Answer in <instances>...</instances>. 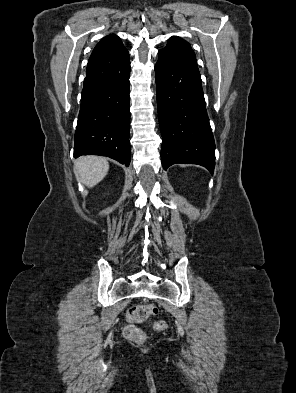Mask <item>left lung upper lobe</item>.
<instances>
[{"instance_id": "left-lung-upper-lobe-1", "label": "left lung upper lobe", "mask_w": 296, "mask_h": 393, "mask_svg": "<svg viewBox=\"0 0 296 393\" xmlns=\"http://www.w3.org/2000/svg\"><path fill=\"white\" fill-rule=\"evenodd\" d=\"M159 52L175 57L196 59L190 44L176 36L171 37L166 47Z\"/></svg>"}]
</instances>
